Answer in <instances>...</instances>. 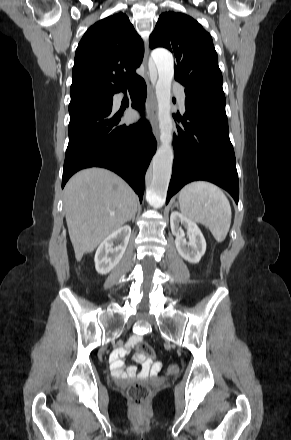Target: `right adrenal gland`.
<instances>
[{
	"label": "right adrenal gland",
	"instance_id": "obj_1",
	"mask_svg": "<svg viewBox=\"0 0 291 440\" xmlns=\"http://www.w3.org/2000/svg\"><path fill=\"white\" fill-rule=\"evenodd\" d=\"M134 220H135V216L132 217V222H134Z\"/></svg>",
	"mask_w": 291,
	"mask_h": 440
}]
</instances>
